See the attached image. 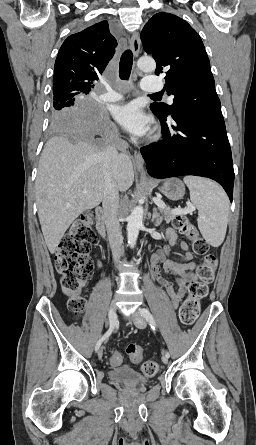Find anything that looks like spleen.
Segmentation results:
<instances>
[{
    "label": "spleen",
    "mask_w": 256,
    "mask_h": 445,
    "mask_svg": "<svg viewBox=\"0 0 256 445\" xmlns=\"http://www.w3.org/2000/svg\"><path fill=\"white\" fill-rule=\"evenodd\" d=\"M184 183L190 191V200L198 210V228L213 247L224 241L229 215V199L224 190L213 181L198 176H186Z\"/></svg>",
    "instance_id": "obj_1"
}]
</instances>
